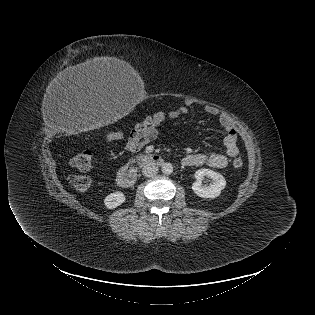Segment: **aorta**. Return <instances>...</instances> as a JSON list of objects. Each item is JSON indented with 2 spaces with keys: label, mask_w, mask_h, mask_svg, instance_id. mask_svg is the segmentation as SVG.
<instances>
[{
  "label": "aorta",
  "mask_w": 315,
  "mask_h": 315,
  "mask_svg": "<svg viewBox=\"0 0 315 315\" xmlns=\"http://www.w3.org/2000/svg\"><path fill=\"white\" fill-rule=\"evenodd\" d=\"M161 170L163 174L170 175L173 172V166L171 163H164Z\"/></svg>",
  "instance_id": "762f6f07"
}]
</instances>
